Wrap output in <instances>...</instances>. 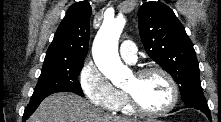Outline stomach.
I'll return each mask as SVG.
<instances>
[{
	"mask_svg": "<svg viewBox=\"0 0 221 122\" xmlns=\"http://www.w3.org/2000/svg\"><path fill=\"white\" fill-rule=\"evenodd\" d=\"M146 122H161L159 120H147Z\"/></svg>",
	"mask_w": 221,
	"mask_h": 122,
	"instance_id": "stomach-1",
	"label": "stomach"
}]
</instances>
